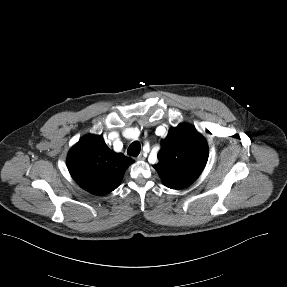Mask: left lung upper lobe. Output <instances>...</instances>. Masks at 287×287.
I'll list each match as a JSON object with an SVG mask.
<instances>
[{
    "instance_id": "5c2ea615",
    "label": "left lung upper lobe",
    "mask_w": 287,
    "mask_h": 287,
    "mask_svg": "<svg viewBox=\"0 0 287 287\" xmlns=\"http://www.w3.org/2000/svg\"><path fill=\"white\" fill-rule=\"evenodd\" d=\"M154 168L165 186L181 189L195 181L208 160V144L196 129L182 123L169 130Z\"/></svg>"
}]
</instances>
